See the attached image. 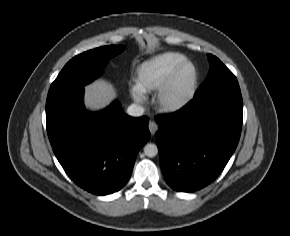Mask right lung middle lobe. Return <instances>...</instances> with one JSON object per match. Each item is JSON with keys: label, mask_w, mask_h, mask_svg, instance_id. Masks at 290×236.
<instances>
[{"label": "right lung middle lobe", "mask_w": 290, "mask_h": 236, "mask_svg": "<svg viewBox=\"0 0 290 236\" xmlns=\"http://www.w3.org/2000/svg\"><path fill=\"white\" fill-rule=\"evenodd\" d=\"M123 50L124 46L110 45L75 56L64 66L50 89L90 83L101 74L108 60Z\"/></svg>", "instance_id": "dd1d6c3e"}]
</instances>
